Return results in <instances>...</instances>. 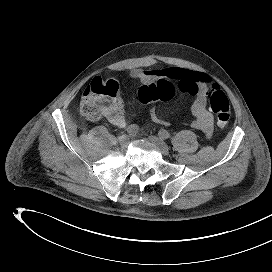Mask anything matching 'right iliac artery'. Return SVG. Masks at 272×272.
<instances>
[{"label": "right iliac artery", "mask_w": 272, "mask_h": 272, "mask_svg": "<svg viewBox=\"0 0 272 272\" xmlns=\"http://www.w3.org/2000/svg\"><path fill=\"white\" fill-rule=\"evenodd\" d=\"M139 128L136 124H132L130 126H128V128L126 129L127 133L129 135H134L138 132Z\"/></svg>", "instance_id": "82829eb1"}]
</instances>
